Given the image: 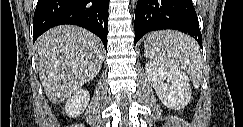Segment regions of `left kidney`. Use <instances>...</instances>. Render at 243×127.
<instances>
[{"label": "left kidney", "instance_id": "1", "mask_svg": "<svg viewBox=\"0 0 243 127\" xmlns=\"http://www.w3.org/2000/svg\"><path fill=\"white\" fill-rule=\"evenodd\" d=\"M146 76L161 102L172 110H181L191 99V85L185 72L154 62L145 65Z\"/></svg>", "mask_w": 243, "mask_h": 127}]
</instances>
